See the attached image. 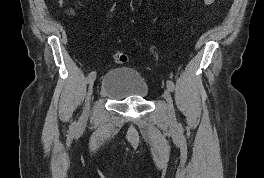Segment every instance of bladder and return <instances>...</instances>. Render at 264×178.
<instances>
[{"instance_id": "31cf9c89", "label": "bladder", "mask_w": 264, "mask_h": 178, "mask_svg": "<svg viewBox=\"0 0 264 178\" xmlns=\"http://www.w3.org/2000/svg\"><path fill=\"white\" fill-rule=\"evenodd\" d=\"M99 92L113 101L146 99L149 95V86L137 70L130 67H118L104 75Z\"/></svg>"}]
</instances>
